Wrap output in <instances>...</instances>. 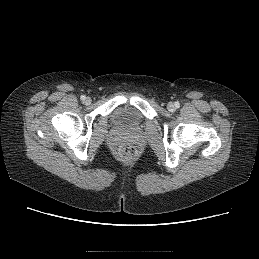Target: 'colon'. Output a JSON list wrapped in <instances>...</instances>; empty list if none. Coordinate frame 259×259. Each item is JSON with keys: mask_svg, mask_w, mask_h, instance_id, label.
Wrapping results in <instances>:
<instances>
[{"mask_svg": "<svg viewBox=\"0 0 259 259\" xmlns=\"http://www.w3.org/2000/svg\"><path fill=\"white\" fill-rule=\"evenodd\" d=\"M117 154L122 161H132L137 156V148L130 142H123L120 144Z\"/></svg>", "mask_w": 259, "mask_h": 259, "instance_id": "obj_1", "label": "colon"}]
</instances>
